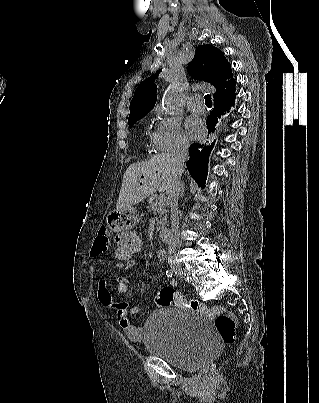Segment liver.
Here are the masks:
<instances>
[{
	"label": "liver",
	"instance_id": "obj_1",
	"mask_svg": "<svg viewBox=\"0 0 319 403\" xmlns=\"http://www.w3.org/2000/svg\"><path fill=\"white\" fill-rule=\"evenodd\" d=\"M183 172L182 167L181 174ZM175 174L176 169L169 153L157 154L146 162L131 164L123 176L117 210L131 208L156 190L166 192L169 196Z\"/></svg>",
	"mask_w": 319,
	"mask_h": 403
}]
</instances>
